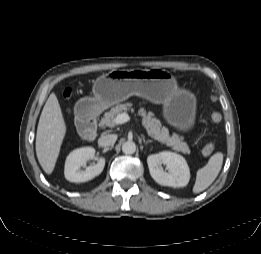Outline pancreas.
I'll return each mask as SVG.
<instances>
[{"label": "pancreas", "mask_w": 261, "mask_h": 254, "mask_svg": "<svg viewBox=\"0 0 261 254\" xmlns=\"http://www.w3.org/2000/svg\"><path fill=\"white\" fill-rule=\"evenodd\" d=\"M132 110V103L119 104L110 109L104 114L100 124L102 126L114 127V119L118 114ZM139 115L142 116V124L145 127L147 134L153 139L166 144L173 150L189 154L190 149L186 142H183L178 135L170 136L168 129L162 126L161 122L154 117L153 113H146L144 108L139 109Z\"/></svg>", "instance_id": "1"}]
</instances>
